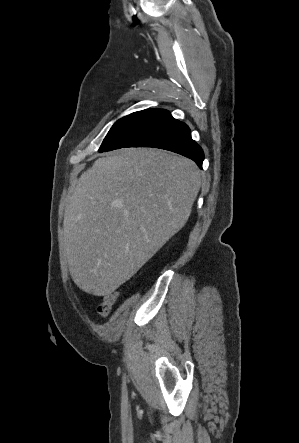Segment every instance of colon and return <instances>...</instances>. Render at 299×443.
Here are the masks:
<instances>
[{"label": "colon", "mask_w": 299, "mask_h": 443, "mask_svg": "<svg viewBox=\"0 0 299 443\" xmlns=\"http://www.w3.org/2000/svg\"><path fill=\"white\" fill-rule=\"evenodd\" d=\"M118 292L107 294L98 306V312L101 316L106 317L110 314L116 300Z\"/></svg>", "instance_id": "5ec220e1"}]
</instances>
